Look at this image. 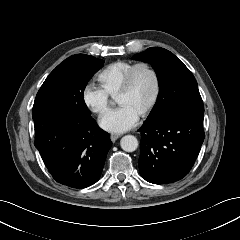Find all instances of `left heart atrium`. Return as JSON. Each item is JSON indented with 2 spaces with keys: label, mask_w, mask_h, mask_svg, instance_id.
<instances>
[{
  "label": "left heart atrium",
  "mask_w": 240,
  "mask_h": 240,
  "mask_svg": "<svg viewBox=\"0 0 240 240\" xmlns=\"http://www.w3.org/2000/svg\"><path fill=\"white\" fill-rule=\"evenodd\" d=\"M139 115L127 106L108 111L100 119L102 129L112 133H123L137 124Z\"/></svg>",
  "instance_id": "1"
}]
</instances>
